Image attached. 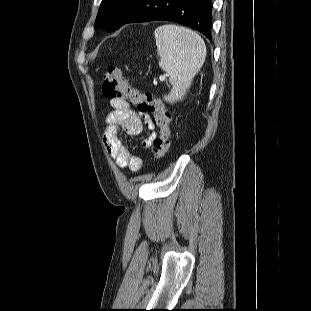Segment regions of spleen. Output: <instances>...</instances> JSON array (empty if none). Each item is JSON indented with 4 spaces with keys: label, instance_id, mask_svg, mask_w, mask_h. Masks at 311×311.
Instances as JSON below:
<instances>
[{
    "label": "spleen",
    "instance_id": "spleen-1",
    "mask_svg": "<svg viewBox=\"0 0 311 311\" xmlns=\"http://www.w3.org/2000/svg\"><path fill=\"white\" fill-rule=\"evenodd\" d=\"M159 66L169 75L172 86L164 100H182L206 57L203 39L194 31L178 25H162L154 31Z\"/></svg>",
    "mask_w": 311,
    "mask_h": 311
}]
</instances>
